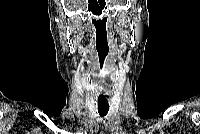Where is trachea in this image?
I'll list each match as a JSON object with an SVG mask.
<instances>
[{
  "instance_id": "trachea-1",
  "label": "trachea",
  "mask_w": 200,
  "mask_h": 134,
  "mask_svg": "<svg viewBox=\"0 0 200 134\" xmlns=\"http://www.w3.org/2000/svg\"><path fill=\"white\" fill-rule=\"evenodd\" d=\"M109 111L108 102L98 101V112L101 117L105 116Z\"/></svg>"
}]
</instances>
